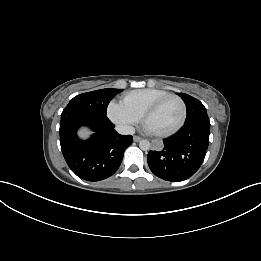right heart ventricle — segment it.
Listing matches in <instances>:
<instances>
[{
    "instance_id": "e07e8e85",
    "label": "right heart ventricle",
    "mask_w": 261,
    "mask_h": 261,
    "mask_svg": "<svg viewBox=\"0 0 261 261\" xmlns=\"http://www.w3.org/2000/svg\"><path fill=\"white\" fill-rule=\"evenodd\" d=\"M168 94V91L157 88L133 90L123 96L122 103L140 118L153 102Z\"/></svg>"
}]
</instances>
